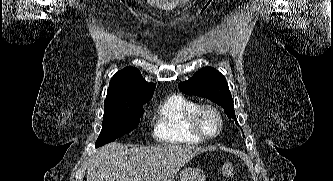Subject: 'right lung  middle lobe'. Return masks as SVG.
Wrapping results in <instances>:
<instances>
[{
  "instance_id": "right-lung-middle-lobe-1",
  "label": "right lung middle lobe",
  "mask_w": 333,
  "mask_h": 181,
  "mask_svg": "<svg viewBox=\"0 0 333 181\" xmlns=\"http://www.w3.org/2000/svg\"><path fill=\"white\" fill-rule=\"evenodd\" d=\"M145 103L121 107L117 109L104 110L101 133L96 141L98 148L116 138L133 131L139 124Z\"/></svg>"
}]
</instances>
